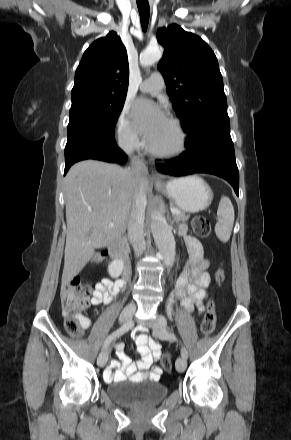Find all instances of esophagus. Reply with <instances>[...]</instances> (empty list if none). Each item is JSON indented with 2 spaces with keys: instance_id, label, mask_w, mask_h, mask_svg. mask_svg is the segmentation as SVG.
<instances>
[{
  "instance_id": "1",
  "label": "esophagus",
  "mask_w": 291,
  "mask_h": 440,
  "mask_svg": "<svg viewBox=\"0 0 291 440\" xmlns=\"http://www.w3.org/2000/svg\"><path fill=\"white\" fill-rule=\"evenodd\" d=\"M153 180L156 184L163 182L162 176L156 172L153 173Z\"/></svg>"
}]
</instances>
